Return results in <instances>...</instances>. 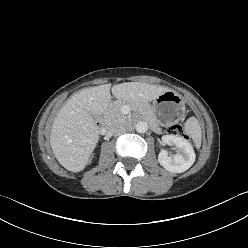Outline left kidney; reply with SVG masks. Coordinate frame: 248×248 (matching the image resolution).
<instances>
[{
    "label": "left kidney",
    "mask_w": 248,
    "mask_h": 248,
    "mask_svg": "<svg viewBox=\"0 0 248 248\" xmlns=\"http://www.w3.org/2000/svg\"><path fill=\"white\" fill-rule=\"evenodd\" d=\"M164 145L176 146L177 154L170 156L166 150H161L158 161L166 170L175 173H182L188 170L195 162L196 155L192 145L183 137L176 135H164Z\"/></svg>",
    "instance_id": "obj_1"
}]
</instances>
